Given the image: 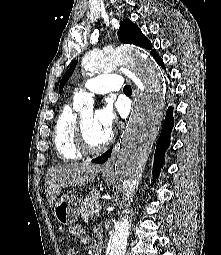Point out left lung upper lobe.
<instances>
[{"mask_svg":"<svg viewBox=\"0 0 221 255\" xmlns=\"http://www.w3.org/2000/svg\"><path fill=\"white\" fill-rule=\"evenodd\" d=\"M118 38L122 43L135 44L137 46H141L147 49L152 48L151 42L142 34L138 26L132 23V21H130L129 19H125L124 21L120 22ZM154 52L156 51L152 50L151 53H154ZM77 62L78 61H75V63L69 68V70L63 76L59 86L60 94L62 93L64 85L66 84L70 76L72 75Z\"/></svg>","mask_w":221,"mask_h":255,"instance_id":"obj_1","label":"left lung upper lobe"}]
</instances>
